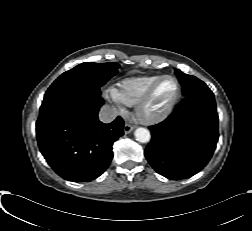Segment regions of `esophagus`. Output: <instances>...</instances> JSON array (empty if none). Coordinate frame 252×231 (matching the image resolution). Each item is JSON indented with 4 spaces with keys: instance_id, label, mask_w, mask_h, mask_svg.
I'll return each instance as SVG.
<instances>
[{
    "instance_id": "obj_1",
    "label": "esophagus",
    "mask_w": 252,
    "mask_h": 231,
    "mask_svg": "<svg viewBox=\"0 0 252 231\" xmlns=\"http://www.w3.org/2000/svg\"><path fill=\"white\" fill-rule=\"evenodd\" d=\"M133 129H134V126H133V125H131V124H129V123H126V124L124 125L123 131H124L125 134H129V133H131V132L133 131Z\"/></svg>"
}]
</instances>
